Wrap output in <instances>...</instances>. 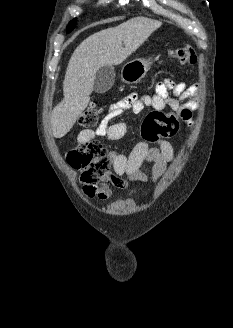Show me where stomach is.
I'll return each mask as SVG.
<instances>
[{"instance_id": "0dacf381", "label": "stomach", "mask_w": 233, "mask_h": 328, "mask_svg": "<svg viewBox=\"0 0 233 328\" xmlns=\"http://www.w3.org/2000/svg\"><path fill=\"white\" fill-rule=\"evenodd\" d=\"M153 63V57L139 58L126 63L121 70V78L125 83H138L145 77Z\"/></svg>"}]
</instances>
